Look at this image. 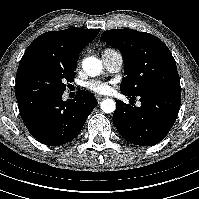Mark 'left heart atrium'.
Listing matches in <instances>:
<instances>
[{"label":"left heart atrium","instance_id":"left-heart-atrium-1","mask_svg":"<svg viewBox=\"0 0 199 199\" xmlns=\"http://www.w3.org/2000/svg\"><path fill=\"white\" fill-rule=\"evenodd\" d=\"M84 86L88 90H90L94 93L106 94V93L110 92L111 87H112V82L94 78V79H90V80L86 81Z\"/></svg>","mask_w":199,"mask_h":199}]
</instances>
